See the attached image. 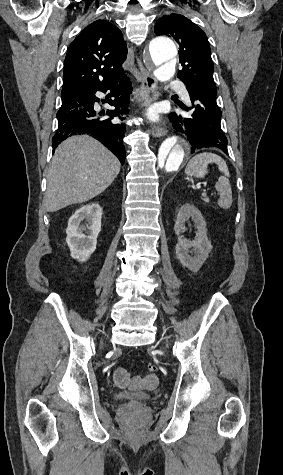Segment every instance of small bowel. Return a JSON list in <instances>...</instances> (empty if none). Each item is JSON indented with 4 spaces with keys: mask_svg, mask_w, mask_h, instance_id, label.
<instances>
[{
    "mask_svg": "<svg viewBox=\"0 0 283 475\" xmlns=\"http://www.w3.org/2000/svg\"><path fill=\"white\" fill-rule=\"evenodd\" d=\"M113 380L117 387L128 388L130 386V375L124 368H117L113 374ZM142 381L147 388H152L157 384L158 378L155 374H147L142 378ZM135 383L139 382L138 378L134 379Z\"/></svg>",
    "mask_w": 283,
    "mask_h": 475,
    "instance_id": "small-bowel-1",
    "label": "small bowel"
}]
</instances>
